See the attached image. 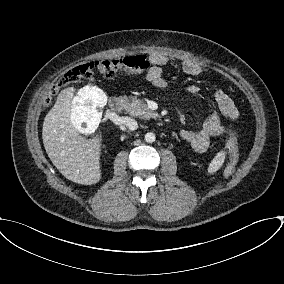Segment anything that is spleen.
<instances>
[{"mask_svg":"<svg viewBox=\"0 0 284 284\" xmlns=\"http://www.w3.org/2000/svg\"><path fill=\"white\" fill-rule=\"evenodd\" d=\"M225 154H226L225 151H220L219 153L216 154V156L212 159V161L209 164L208 167L209 174L215 173L222 167L225 161Z\"/></svg>","mask_w":284,"mask_h":284,"instance_id":"obj_1","label":"spleen"}]
</instances>
